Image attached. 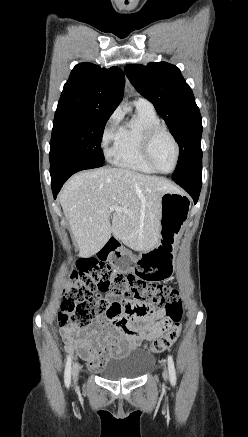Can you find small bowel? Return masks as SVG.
Wrapping results in <instances>:
<instances>
[{
    "mask_svg": "<svg viewBox=\"0 0 248 437\" xmlns=\"http://www.w3.org/2000/svg\"><path fill=\"white\" fill-rule=\"evenodd\" d=\"M105 317L88 329L68 326L60 333L70 348H74L95 371L101 370L107 360L121 357L137 349L141 342L152 340L165 332L163 306L130 299L129 294H110Z\"/></svg>",
    "mask_w": 248,
    "mask_h": 437,
    "instance_id": "c3829d8e",
    "label": "small bowel"
}]
</instances>
